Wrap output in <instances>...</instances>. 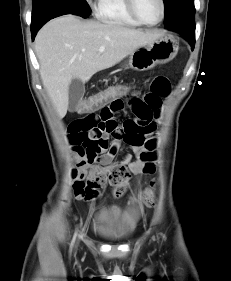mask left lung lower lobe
Here are the masks:
<instances>
[{"instance_id": "left-lung-lower-lobe-1", "label": "left lung lower lobe", "mask_w": 231, "mask_h": 281, "mask_svg": "<svg viewBox=\"0 0 231 281\" xmlns=\"http://www.w3.org/2000/svg\"><path fill=\"white\" fill-rule=\"evenodd\" d=\"M195 14L194 15H185L178 19H175L167 27L169 30L177 31L183 34L189 41L192 49L195 45Z\"/></svg>"}]
</instances>
